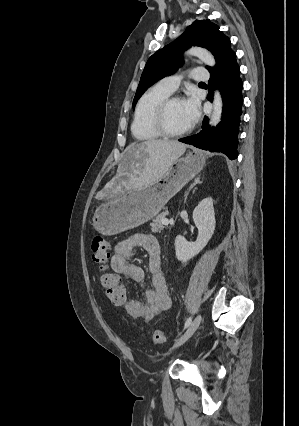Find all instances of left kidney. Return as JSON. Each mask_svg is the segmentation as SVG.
<instances>
[{
    "label": "left kidney",
    "instance_id": "left-kidney-1",
    "mask_svg": "<svg viewBox=\"0 0 299 426\" xmlns=\"http://www.w3.org/2000/svg\"><path fill=\"white\" fill-rule=\"evenodd\" d=\"M193 221L198 228V237L195 242H189L184 236L178 235L175 239L176 258L186 263L196 256L207 245L215 230V213L213 199H203L193 211Z\"/></svg>",
    "mask_w": 299,
    "mask_h": 426
}]
</instances>
